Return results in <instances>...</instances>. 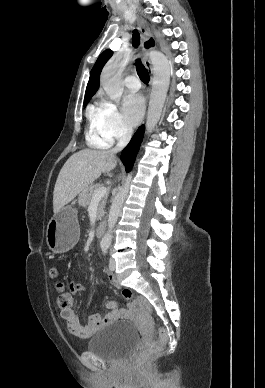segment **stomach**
Masks as SVG:
<instances>
[{
  "label": "stomach",
  "instance_id": "stomach-1",
  "mask_svg": "<svg viewBox=\"0 0 265 388\" xmlns=\"http://www.w3.org/2000/svg\"><path fill=\"white\" fill-rule=\"evenodd\" d=\"M79 239L77 212L67 206L54 214L47 225L46 241L54 253L69 251Z\"/></svg>",
  "mask_w": 265,
  "mask_h": 388
}]
</instances>
